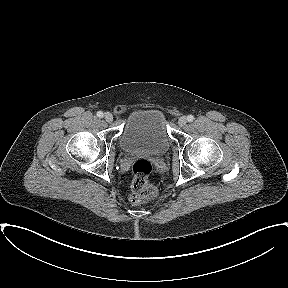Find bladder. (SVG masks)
Instances as JSON below:
<instances>
[{"instance_id":"bladder-1","label":"bladder","mask_w":288,"mask_h":288,"mask_svg":"<svg viewBox=\"0 0 288 288\" xmlns=\"http://www.w3.org/2000/svg\"><path fill=\"white\" fill-rule=\"evenodd\" d=\"M120 147L128 154L162 155L169 148L165 118L158 109H138L127 118Z\"/></svg>"}]
</instances>
